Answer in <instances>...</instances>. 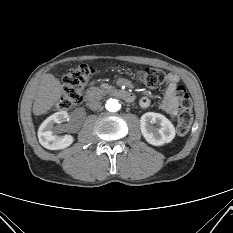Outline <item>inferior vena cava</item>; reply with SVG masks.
Masks as SVG:
<instances>
[{"instance_id": "inferior-vena-cava-1", "label": "inferior vena cava", "mask_w": 233, "mask_h": 233, "mask_svg": "<svg viewBox=\"0 0 233 233\" xmlns=\"http://www.w3.org/2000/svg\"><path fill=\"white\" fill-rule=\"evenodd\" d=\"M88 107L93 110L96 111L98 109H100L101 107V102L96 100V99H91L88 103H87Z\"/></svg>"}]
</instances>
